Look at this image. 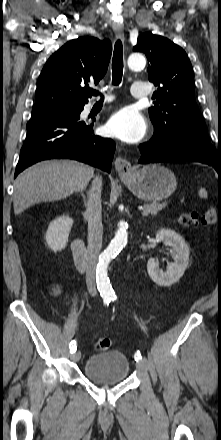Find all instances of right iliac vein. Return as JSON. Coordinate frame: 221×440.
Listing matches in <instances>:
<instances>
[{
    "label": "right iliac vein",
    "instance_id": "63e3f726",
    "mask_svg": "<svg viewBox=\"0 0 221 440\" xmlns=\"http://www.w3.org/2000/svg\"><path fill=\"white\" fill-rule=\"evenodd\" d=\"M80 357H81V353H80L79 351H77V352H75V353L72 355L71 359H72L74 362H77V361L80 360Z\"/></svg>",
    "mask_w": 221,
    "mask_h": 440
}]
</instances>
